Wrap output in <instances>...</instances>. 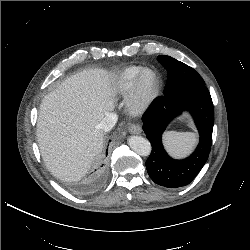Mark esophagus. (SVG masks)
<instances>
[{"instance_id": "obj_1", "label": "esophagus", "mask_w": 250, "mask_h": 250, "mask_svg": "<svg viewBox=\"0 0 250 250\" xmlns=\"http://www.w3.org/2000/svg\"><path fill=\"white\" fill-rule=\"evenodd\" d=\"M128 130L131 134H140L142 132V128L139 124H131Z\"/></svg>"}]
</instances>
